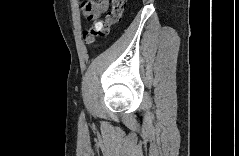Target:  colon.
I'll list each match as a JSON object with an SVG mask.
<instances>
[{
  "instance_id": "1",
  "label": "colon",
  "mask_w": 239,
  "mask_h": 156,
  "mask_svg": "<svg viewBox=\"0 0 239 156\" xmlns=\"http://www.w3.org/2000/svg\"><path fill=\"white\" fill-rule=\"evenodd\" d=\"M125 7V0H111L105 13V19L96 21L90 28L83 32L85 44H92L97 37L108 35L110 27L120 21Z\"/></svg>"
}]
</instances>
